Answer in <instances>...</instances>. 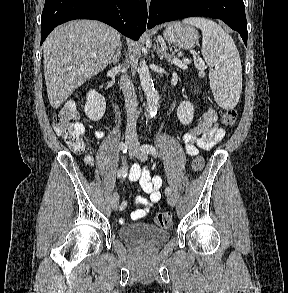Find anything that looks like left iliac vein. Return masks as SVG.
I'll return each instance as SVG.
<instances>
[{"mask_svg": "<svg viewBox=\"0 0 288 293\" xmlns=\"http://www.w3.org/2000/svg\"><path fill=\"white\" fill-rule=\"evenodd\" d=\"M133 154L140 160L145 161L147 159L146 154L141 150L139 143H134V151ZM167 202L170 206H174L176 201L172 195H167Z\"/></svg>", "mask_w": 288, "mask_h": 293, "instance_id": "left-iliac-vein-1", "label": "left iliac vein"}]
</instances>
